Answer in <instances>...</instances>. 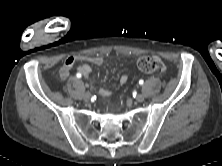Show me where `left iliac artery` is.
<instances>
[{
  "mask_svg": "<svg viewBox=\"0 0 222 166\" xmlns=\"http://www.w3.org/2000/svg\"><path fill=\"white\" fill-rule=\"evenodd\" d=\"M143 83H144L143 80H140V81H139V84H140V85H143Z\"/></svg>",
  "mask_w": 222,
  "mask_h": 166,
  "instance_id": "left-iliac-artery-1",
  "label": "left iliac artery"
}]
</instances>
